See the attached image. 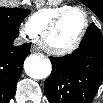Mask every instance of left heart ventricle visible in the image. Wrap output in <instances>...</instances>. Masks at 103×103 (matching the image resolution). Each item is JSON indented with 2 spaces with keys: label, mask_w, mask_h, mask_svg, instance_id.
I'll return each instance as SVG.
<instances>
[{
  "label": "left heart ventricle",
  "mask_w": 103,
  "mask_h": 103,
  "mask_svg": "<svg viewBox=\"0 0 103 103\" xmlns=\"http://www.w3.org/2000/svg\"><path fill=\"white\" fill-rule=\"evenodd\" d=\"M83 27V14L81 12H73L65 17L49 35L47 44L57 49L68 47L79 37Z\"/></svg>",
  "instance_id": "left-heart-ventricle-1"
}]
</instances>
